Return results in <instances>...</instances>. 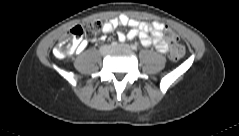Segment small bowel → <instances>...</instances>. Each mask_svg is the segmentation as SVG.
Returning <instances> with one entry per match:
<instances>
[{
	"label": "small bowel",
	"mask_w": 239,
	"mask_h": 136,
	"mask_svg": "<svg viewBox=\"0 0 239 136\" xmlns=\"http://www.w3.org/2000/svg\"><path fill=\"white\" fill-rule=\"evenodd\" d=\"M119 26H128L131 29L127 33H118L119 41L138 38L144 46H153L157 51L164 53L168 49V44L163 37L165 25L154 21L150 24L131 19L126 15H120L104 23L102 32L105 34L113 32ZM85 42L79 45L78 50H82Z\"/></svg>",
	"instance_id": "c3829d8e"
}]
</instances>
